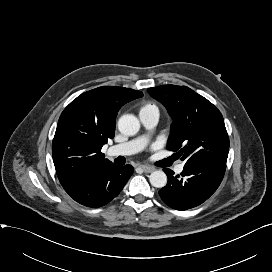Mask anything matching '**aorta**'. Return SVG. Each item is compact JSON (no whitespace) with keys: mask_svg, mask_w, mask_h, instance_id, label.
Here are the masks:
<instances>
[{"mask_svg":"<svg viewBox=\"0 0 272 272\" xmlns=\"http://www.w3.org/2000/svg\"><path fill=\"white\" fill-rule=\"evenodd\" d=\"M118 129L124 135L133 136L139 131L140 122L134 115L125 114L119 118ZM149 181L152 186L162 188L167 184V176L163 171L157 170L150 174Z\"/></svg>","mask_w":272,"mask_h":272,"instance_id":"1","label":"aorta"}]
</instances>
